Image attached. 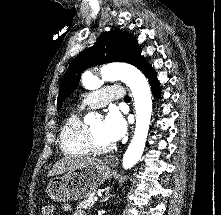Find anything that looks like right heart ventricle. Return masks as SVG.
<instances>
[{"mask_svg": "<svg viewBox=\"0 0 221 215\" xmlns=\"http://www.w3.org/2000/svg\"><path fill=\"white\" fill-rule=\"evenodd\" d=\"M88 126L79 113H72L64 122L60 132V147L65 154L83 156L90 153L87 140Z\"/></svg>", "mask_w": 221, "mask_h": 215, "instance_id": "obj_1", "label": "right heart ventricle"}]
</instances>
